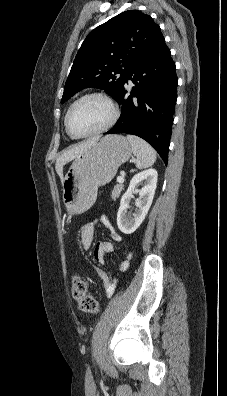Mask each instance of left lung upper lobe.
<instances>
[{
    "label": "left lung upper lobe",
    "mask_w": 227,
    "mask_h": 396,
    "mask_svg": "<svg viewBox=\"0 0 227 396\" xmlns=\"http://www.w3.org/2000/svg\"><path fill=\"white\" fill-rule=\"evenodd\" d=\"M162 36L149 15L135 10L122 12L98 26L76 55L61 103L87 87L104 89L116 99L131 67Z\"/></svg>",
    "instance_id": "left-lung-upper-lobe-1"
}]
</instances>
